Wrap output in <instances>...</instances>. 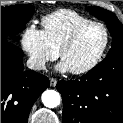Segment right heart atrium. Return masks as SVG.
Here are the masks:
<instances>
[{
	"label": "right heart atrium",
	"mask_w": 123,
	"mask_h": 123,
	"mask_svg": "<svg viewBox=\"0 0 123 123\" xmlns=\"http://www.w3.org/2000/svg\"><path fill=\"white\" fill-rule=\"evenodd\" d=\"M20 45L28 56L30 66L35 70L45 69L47 63L57 57V52L49 45L44 32L34 24H28L23 29Z\"/></svg>",
	"instance_id": "1"
}]
</instances>
